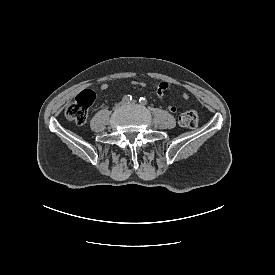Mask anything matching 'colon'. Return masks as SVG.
<instances>
[{
    "mask_svg": "<svg viewBox=\"0 0 275 275\" xmlns=\"http://www.w3.org/2000/svg\"><path fill=\"white\" fill-rule=\"evenodd\" d=\"M95 100V93L91 89L83 90L65 109V117L78 124L83 125L87 121L88 109ZM199 115L195 110H188L179 117V123L183 127L193 128L197 125Z\"/></svg>",
    "mask_w": 275,
    "mask_h": 275,
    "instance_id": "colon-1",
    "label": "colon"
}]
</instances>
